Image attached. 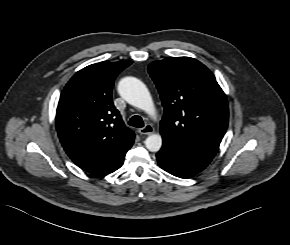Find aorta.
Here are the masks:
<instances>
[{"mask_svg": "<svg viewBox=\"0 0 290 245\" xmlns=\"http://www.w3.org/2000/svg\"><path fill=\"white\" fill-rule=\"evenodd\" d=\"M118 92L129 104L145 111L150 116L155 114V106L146 85L137 78L125 77L118 84ZM146 148L158 152L162 147L160 134H151L145 140Z\"/></svg>", "mask_w": 290, "mask_h": 245, "instance_id": "1", "label": "aorta"}]
</instances>
